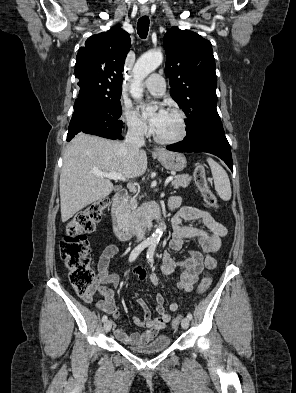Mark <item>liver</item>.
Returning a JSON list of instances; mask_svg holds the SVG:
<instances>
[{
	"instance_id": "1",
	"label": "liver",
	"mask_w": 296,
	"mask_h": 393,
	"mask_svg": "<svg viewBox=\"0 0 296 393\" xmlns=\"http://www.w3.org/2000/svg\"><path fill=\"white\" fill-rule=\"evenodd\" d=\"M121 147L119 141L85 133H79L67 145L60 173L62 222L113 191L111 181L96 176L94 172H118L128 178L146 172V152L139 150L132 161L122 152Z\"/></svg>"
}]
</instances>
